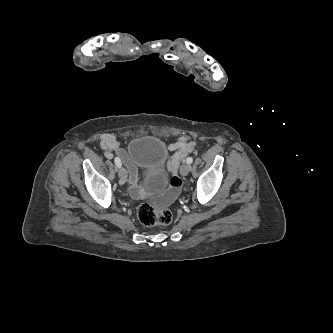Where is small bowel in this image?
Instances as JSON below:
<instances>
[{"label": "small bowel", "mask_w": 333, "mask_h": 333, "mask_svg": "<svg viewBox=\"0 0 333 333\" xmlns=\"http://www.w3.org/2000/svg\"><path fill=\"white\" fill-rule=\"evenodd\" d=\"M101 147L105 150L106 156L111 157L114 152L118 155L127 167L131 183L130 192L134 197H139L142 192L139 186V175L135 164L127 157L124 150L120 147L116 137L113 134H104L100 139ZM168 149L175 153L166 159V167L171 173H175L183 160L194 151L195 143L189 136H181L174 142L168 144ZM172 185L179 186L178 177L172 178Z\"/></svg>", "instance_id": "c3829d8e"}]
</instances>
